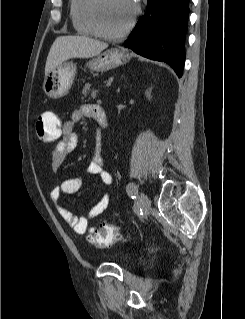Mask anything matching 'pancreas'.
Wrapping results in <instances>:
<instances>
[{
	"label": "pancreas",
	"instance_id": "1",
	"mask_svg": "<svg viewBox=\"0 0 245 319\" xmlns=\"http://www.w3.org/2000/svg\"><path fill=\"white\" fill-rule=\"evenodd\" d=\"M91 91V84L90 83H86L84 89L82 90V94H83V99H85L89 93Z\"/></svg>",
	"mask_w": 245,
	"mask_h": 319
}]
</instances>
